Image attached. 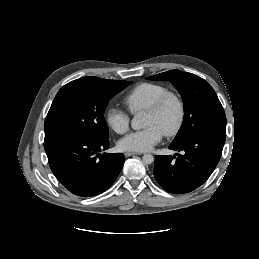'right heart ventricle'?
Here are the masks:
<instances>
[{
	"instance_id": "right-heart-ventricle-1",
	"label": "right heart ventricle",
	"mask_w": 259,
	"mask_h": 259,
	"mask_svg": "<svg viewBox=\"0 0 259 259\" xmlns=\"http://www.w3.org/2000/svg\"><path fill=\"white\" fill-rule=\"evenodd\" d=\"M167 87L157 83H141L133 88L125 97V102L131 112L150 108L164 93Z\"/></svg>"
}]
</instances>
